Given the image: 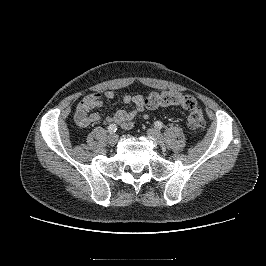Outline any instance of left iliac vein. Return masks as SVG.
<instances>
[{"label":"left iliac vein","mask_w":266,"mask_h":266,"mask_svg":"<svg viewBox=\"0 0 266 266\" xmlns=\"http://www.w3.org/2000/svg\"><path fill=\"white\" fill-rule=\"evenodd\" d=\"M147 136L153 140H155L157 143L161 144L163 143L164 139L162 134L160 133L159 130L154 129V128H149L147 130Z\"/></svg>","instance_id":"1"}]
</instances>
